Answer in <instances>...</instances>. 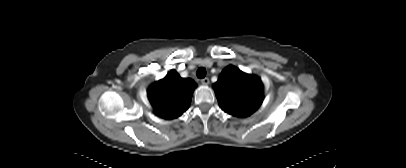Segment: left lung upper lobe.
Instances as JSON below:
<instances>
[{
  "mask_svg": "<svg viewBox=\"0 0 406 168\" xmlns=\"http://www.w3.org/2000/svg\"><path fill=\"white\" fill-rule=\"evenodd\" d=\"M213 88L221 109L236 117L251 115L263 101L261 80L232 65L222 71Z\"/></svg>",
  "mask_w": 406,
  "mask_h": 168,
  "instance_id": "1",
  "label": "left lung upper lobe"
}]
</instances>
